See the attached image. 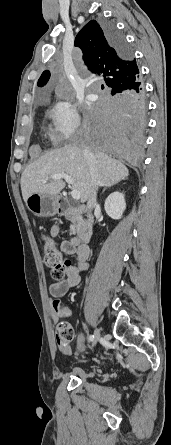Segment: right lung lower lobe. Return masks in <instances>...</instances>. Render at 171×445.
<instances>
[{
    "instance_id": "obj_1",
    "label": "right lung lower lobe",
    "mask_w": 171,
    "mask_h": 445,
    "mask_svg": "<svg viewBox=\"0 0 171 445\" xmlns=\"http://www.w3.org/2000/svg\"><path fill=\"white\" fill-rule=\"evenodd\" d=\"M101 27L111 46L122 57L130 54L123 36L109 22ZM143 82L111 92L85 112L84 134L92 146L111 157L138 164L142 157L146 121Z\"/></svg>"
}]
</instances>
